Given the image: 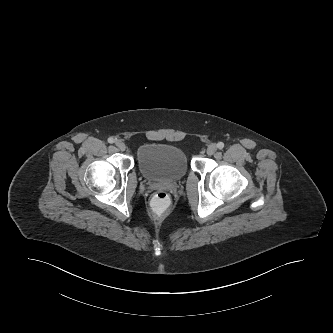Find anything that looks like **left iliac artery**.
<instances>
[{
  "label": "left iliac artery",
  "instance_id": "obj_1",
  "mask_svg": "<svg viewBox=\"0 0 333 333\" xmlns=\"http://www.w3.org/2000/svg\"><path fill=\"white\" fill-rule=\"evenodd\" d=\"M217 147H218L219 149H223V148H224V143H223V142H218V143H217Z\"/></svg>",
  "mask_w": 333,
  "mask_h": 333
}]
</instances>
